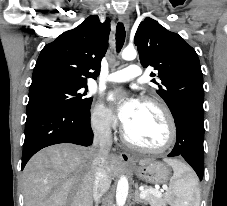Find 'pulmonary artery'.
Here are the masks:
<instances>
[{"label": "pulmonary artery", "instance_id": "1", "mask_svg": "<svg viewBox=\"0 0 227 206\" xmlns=\"http://www.w3.org/2000/svg\"><path fill=\"white\" fill-rule=\"evenodd\" d=\"M141 75V68L138 65L131 64L124 69L110 73L107 77V81L113 83L128 82L139 78Z\"/></svg>", "mask_w": 227, "mask_h": 206}]
</instances>
